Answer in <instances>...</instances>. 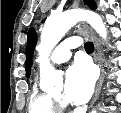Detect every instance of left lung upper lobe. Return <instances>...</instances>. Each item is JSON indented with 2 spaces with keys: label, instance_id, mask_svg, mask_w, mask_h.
I'll list each match as a JSON object with an SVG mask.
<instances>
[{
  "label": "left lung upper lobe",
  "instance_id": "left-lung-upper-lobe-1",
  "mask_svg": "<svg viewBox=\"0 0 121 113\" xmlns=\"http://www.w3.org/2000/svg\"><path fill=\"white\" fill-rule=\"evenodd\" d=\"M84 4L88 5L91 9L96 8L94 0H84ZM37 42V35L33 27L28 31V41H27V50H26V75L29 76L31 73V66L33 63V51Z\"/></svg>",
  "mask_w": 121,
  "mask_h": 113
}]
</instances>
